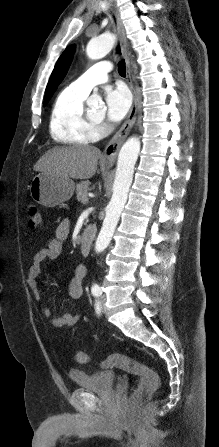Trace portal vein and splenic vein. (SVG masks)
Listing matches in <instances>:
<instances>
[{"label":"portal vein and splenic vein","instance_id":"18ae733b","mask_svg":"<svg viewBox=\"0 0 219 447\" xmlns=\"http://www.w3.org/2000/svg\"><path fill=\"white\" fill-rule=\"evenodd\" d=\"M86 202H88V197H84V198L82 199V203H86Z\"/></svg>","mask_w":219,"mask_h":447}]
</instances>
